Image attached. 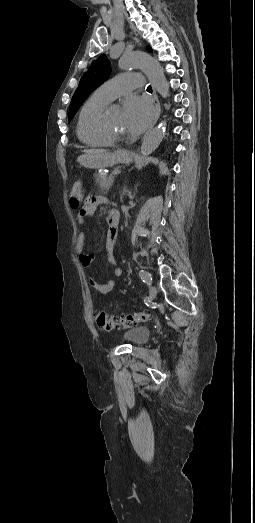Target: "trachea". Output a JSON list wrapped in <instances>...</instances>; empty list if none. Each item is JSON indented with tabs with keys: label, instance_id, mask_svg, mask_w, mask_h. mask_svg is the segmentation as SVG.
Here are the masks:
<instances>
[{
	"label": "trachea",
	"instance_id": "obj_1",
	"mask_svg": "<svg viewBox=\"0 0 255 523\" xmlns=\"http://www.w3.org/2000/svg\"><path fill=\"white\" fill-rule=\"evenodd\" d=\"M147 92L152 93V87H151V85H148V87H147Z\"/></svg>",
	"mask_w": 255,
	"mask_h": 523
}]
</instances>
